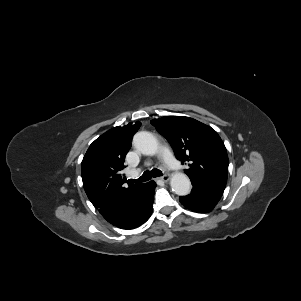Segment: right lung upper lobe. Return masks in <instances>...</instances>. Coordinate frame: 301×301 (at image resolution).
<instances>
[{
    "mask_svg": "<svg viewBox=\"0 0 301 301\" xmlns=\"http://www.w3.org/2000/svg\"><path fill=\"white\" fill-rule=\"evenodd\" d=\"M140 126L137 121L107 131L90 145L81 163L83 186L89 200L113 225L127 213L143 185H124L126 178L121 174L132 137Z\"/></svg>",
    "mask_w": 301,
    "mask_h": 301,
    "instance_id": "1",
    "label": "right lung upper lobe"
}]
</instances>
